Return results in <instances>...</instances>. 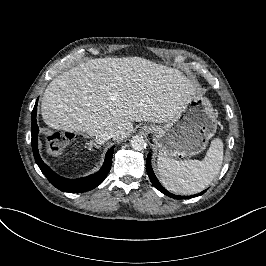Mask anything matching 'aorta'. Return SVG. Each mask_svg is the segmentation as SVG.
<instances>
[{"instance_id":"762f6f07","label":"aorta","mask_w":266,"mask_h":266,"mask_svg":"<svg viewBox=\"0 0 266 266\" xmlns=\"http://www.w3.org/2000/svg\"><path fill=\"white\" fill-rule=\"evenodd\" d=\"M131 147L135 151H142L147 144L143 136H134L130 141Z\"/></svg>"}]
</instances>
